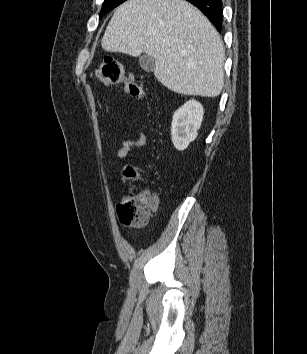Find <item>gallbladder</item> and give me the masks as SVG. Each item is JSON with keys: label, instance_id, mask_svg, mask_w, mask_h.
I'll return each mask as SVG.
<instances>
[{"label": "gallbladder", "instance_id": "gallbladder-1", "mask_svg": "<svg viewBox=\"0 0 307 354\" xmlns=\"http://www.w3.org/2000/svg\"><path fill=\"white\" fill-rule=\"evenodd\" d=\"M140 67L146 72H152L155 68V60L149 54H143L139 57Z\"/></svg>", "mask_w": 307, "mask_h": 354}]
</instances>
